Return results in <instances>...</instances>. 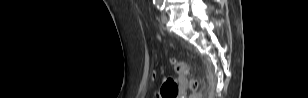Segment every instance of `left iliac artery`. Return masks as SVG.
<instances>
[{
	"label": "left iliac artery",
	"instance_id": "44dca946",
	"mask_svg": "<svg viewBox=\"0 0 308 98\" xmlns=\"http://www.w3.org/2000/svg\"><path fill=\"white\" fill-rule=\"evenodd\" d=\"M159 8H160L161 10H163L164 4H159Z\"/></svg>",
	"mask_w": 308,
	"mask_h": 98
}]
</instances>
